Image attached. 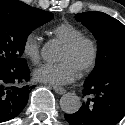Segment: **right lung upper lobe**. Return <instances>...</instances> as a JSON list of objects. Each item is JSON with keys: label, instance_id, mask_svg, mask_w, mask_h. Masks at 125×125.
Masks as SVG:
<instances>
[{"label": "right lung upper lobe", "instance_id": "1", "mask_svg": "<svg viewBox=\"0 0 125 125\" xmlns=\"http://www.w3.org/2000/svg\"><path fill=\"white\" fill-rule=\"evenodd\" d=\"M0 6H6L18 16H29L36 9L17 0H0Z\"/></svg>", "mask_w": 125, "mask_h": 125}]
</instances>
